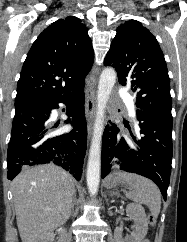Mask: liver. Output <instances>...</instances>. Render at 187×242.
I'll return each mask as SVG.
<instances>
[{
    "label": "liver",
    "mask_w": 187,
    "mask_h": 242,
    "mask_svg": "<svg viewBox=\"0 0 187 242\" xmlns=\"http://www.w3.org/2000/svg\"><path fill=\"white\" fill-rule=\"evenodd\" d=\"M12 193L22 242H41L68 220L75 186L68 172L47 164L24 168Z\"/></svg>",
    "instance_id": "1"
}]
</instances>
